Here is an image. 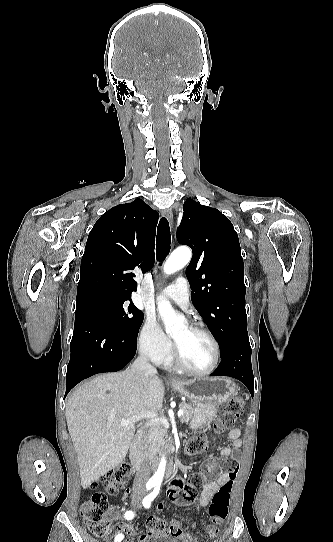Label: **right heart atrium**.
<instances>
[{
    "label": "right heart atrium",
    "instance_id": "obj_1",
    "mask_svg": "<svg viewBox=\"0 0 333 542\" xmlns=\"http://www.w3.org/2000/svg\"><path fill=\"white\" fill-rule=\"evenodd\" d=\"M138 348L148 358H157L169 351L170 340L156 318L150 316L145 318L138 333Z\"/></svg>",
    "mask_w": 333,
    "mask_h": 542
}]
</instances>
